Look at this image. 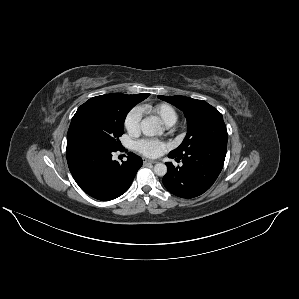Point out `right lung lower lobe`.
<instances>
[{
    "instance_id": "1",
    "label": "right lung lower lobe",
    "mask_w": 299,
    "mask_h": 299,
    "mask_svg": "<svg viewBox=\"0 0 299 299\" xmlns=\"http://www.w3.org/2000/svg\"><path fill=\"white\" fill-rule=\"evenodd\" d=\"M119 150L98 143H77L67 145L66 157L70 172L79 187L91 197L109 201L124 194L130 187L142 159L128 153V159L121 164L112 159Z\"/></svg>"
}]
</instances>
